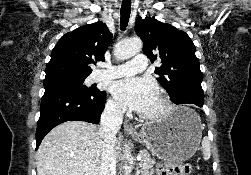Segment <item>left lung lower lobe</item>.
Wrapping results in <instances>:
<instances>
[{
    "instance_id": "1",
    "label": "left lung lower lobe",
    "mask_w": 251,
    "mask_h": 175,
    "mask_svg": "<svg viewBox=\"0 0 251 175\" xmlns=\"http://www.w3.org/2000/svg\"><path fill=\"white\" fill-rule=\"evenodd\" d=\"M175 104H183L181 116L186 119H196L203 113L204 96L190 91L181 90L170 96Z\"/></svg>"
}]
</instances>
